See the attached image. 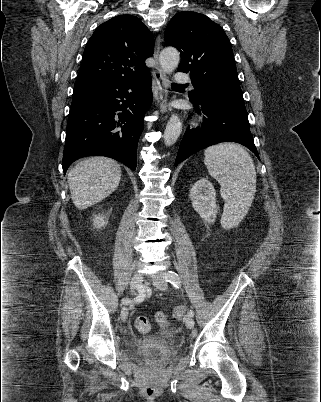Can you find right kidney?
I'll use <instances>...</instances> for the list:
<instances>
[{
    "label": "right kidney",
    "instance_id": "obj_1",
    "mask_svg": "<svg viewBox=\"0 0 321 402\" xmlns=\"http://www.w3.org/2000/svg\"><path fill=\"white\" fill-rule=\"evenodd\" d=\"M93 222L96 228H102L106 225L105 217L101 215H95Z\"/></svg>",
    "mask_w": 321,
    "mask_h": 402
}]
</instances>
